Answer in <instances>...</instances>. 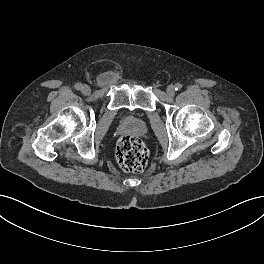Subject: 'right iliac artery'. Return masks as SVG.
<instances>
[{"label": "right iliac artery", "instance_id": "1", "mask_svg": "<svg viewBox=\"0 0 264 264\" xmlns=\"http://www.w3.org/2000/svg\"><path fill=\"white\" fill-rule=\"evenodd\" d=\"M75 89L76 90H81L82 89V84L81 83L75 84Z\"/></svg>", "mask_w": 264, "mask_h": 264}]
</instances>
